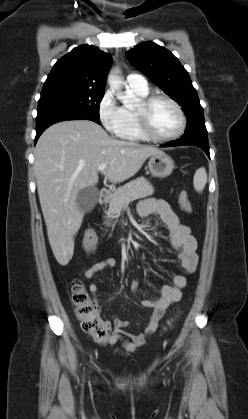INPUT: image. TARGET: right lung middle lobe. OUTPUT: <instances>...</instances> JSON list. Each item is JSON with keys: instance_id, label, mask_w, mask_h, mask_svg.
I'll return each instance as SVG.
<instances>
[{"instance_id": "1", "label": "right lung middle lobe", "mask_w": 248, "mask_h": 419, "mask_svg": "<svg viewBox=\"0 0 248 419\" xmlns=\"http://www.w3.org/2000/svg\"><path fill=\"white\" fill-rule=\"evenodd\" d=\"M104 91L79 87L43 88L38 103V115L55 111H79L100 123L99 107Z\"/></svg>"}]
</instances>
